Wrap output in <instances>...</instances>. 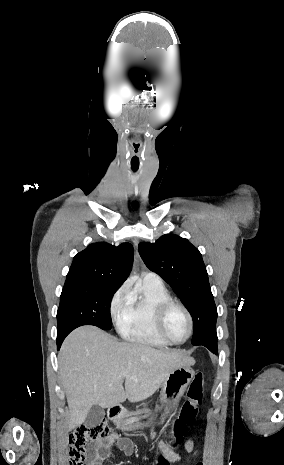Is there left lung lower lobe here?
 <instances>
[{
    "mask_svg": "<svg viewBox=\"0 0 284 465\" xmlns=\"http://www.w3.org/2000/svg\"><path fill=\"white\" fill-rule=\"evenodd\" d=\"M203 346L207 347L210 351L217 354V341H208L203 343Z\"/></svg>",
    "mask_w": 284,
    "mask_h": 465,
    "instance_id": "left-lung-lower-lobe-1",
    "label": "left lung lower lobe"
}]
</instances>
